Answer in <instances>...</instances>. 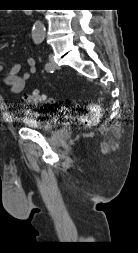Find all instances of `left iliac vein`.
<instances>
[{"instance_id": "1", "label": "left iliac vein", "mask_w": 138, "mask_h": 253, "mask_svg": "<svg viewBox=\"0 0 138 253\" xmlns=\"http://www.w3.org/2000/svg\"><path fill=\"white\" fill-rule=\"evenodd\" d=\"M49 63H50V65H51V70H56V69H58V66H57V64L55 63L54 58H53V56H52L51 54L49 55Z\"/></svg>"}]
</instances>
